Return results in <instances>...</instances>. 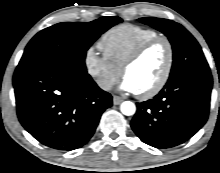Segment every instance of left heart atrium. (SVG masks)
I'll return each instance as SVG.
<instances>
[{"mask_svg":"<svg viewBox=\"0 0 220 173\" xmlns=\"http://www.w3.org/2000/svg\"><path fill=\"white\" fill-rule=\"evenodd\" d=\"M120 89L124 92L137 93L135 86L128 78L122 80L120 83Z\"/></svg>","mask_w":220,"mask_h":173,"instance_id":"obj_1","label":"left heart atrium"}]
</instances>
